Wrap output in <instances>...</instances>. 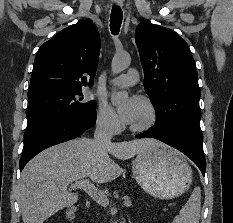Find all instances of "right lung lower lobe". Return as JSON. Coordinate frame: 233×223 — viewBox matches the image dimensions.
Wrapping results in <instances>:
<instances>
[{
  "label": "right lung lower lobe",
  "mask_w": 233,
  "mask_h": 223,
  "mask_svg": "<svg viewBox=\"0 0 233 223\" xmlns=\"http://www.w3.org/2000/svg\"><path fill=\"white\" fill-rule=\"evenodd\" d=\"M96 123V110H84L25 137L20 171L39 152L81 135Z\"/></svg>",
  "instance_id": "1"
}]
</instances>
